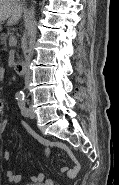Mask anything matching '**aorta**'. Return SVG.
Listing matches in <instances>:
<instances>
[{"label":"aorta","mask_w":119,"mask_h":185,"mask_svg":"<svg viewBox=\"0 0 119 185\" xmlns=\"http://www.w3.org/2000/svg\"><path fill=\"white\" fill-rule=\"evenodd\" d=\"M35 3V2H34ZM34 6H32L31 10L29 11L28 15H27V18H26V25L29 24V22L31 21V19L33 18L34 16Z\"/></svg>","instance_id":"762f6f07"}]
</instances>
